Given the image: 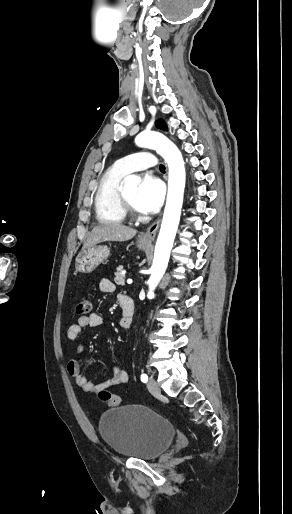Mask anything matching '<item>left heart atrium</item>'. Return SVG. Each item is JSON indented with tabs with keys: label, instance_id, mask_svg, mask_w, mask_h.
Returning a JSON list of instances; mask_svg holds the SVG:
<instances>
[{
	"label": "left heart atrium",
	"instance_id": "39dd6f15",
	"mask_svg": "<svg viewBox=\"0 0 292 514\" xmlns=\"http://www.w3.org/2000/svg\"><path fill=\"white\" fill-rule=\"evenodd\" d=\"M164 198V186L162 181L152 175L146 174L136 192V206L143 212L155 213L162 204Z\"/></svg>",
	"mask_w": 292,
	"mask_h": 514
}]
</instances>
